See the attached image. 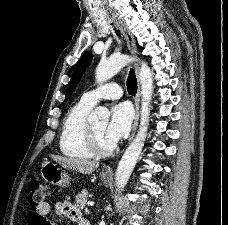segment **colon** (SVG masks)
I'll list each match as a JSON object with an SVG mask.
<instances>
[{
	"instance_id": "colon-1",
	"label": "colon",
	"mask_w": 228,
	"mask_h": 225,
	"mask_svg": "<svg viewBox=\"0 0 228 225\" xmlns=\"http://www.w3.org/2000/svg\"><path fill=\"white\" fill-rule=\"evenodd\" d=\"M50 188L39 178L34 177L28 184V203L31 207H39L49 195Z\"/></svg>"
}]
</instances>
